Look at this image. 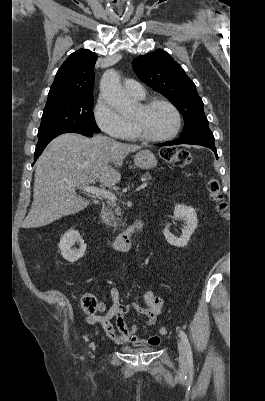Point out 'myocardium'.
<instances>
[{
  "mask_svg": "<svg viewBox=\"0 0 265 401\" xmlns=\"http://www.w3.org/2000/svg\"><path fill=\"white\" fill-rule=\"evenodd\" d=\"M159 104L168 107L174 113L175 118H176V128L172 133H170L168 135L153 137V136H149V135L145 134L142 131L139 123L136 122V121H133L135 132L137 133V135L141 139H143L145 141L160 142V141H166V140L172 139V138H174L175 136H177L179 134V132H180V130L182 128V116H181V113L178 110V108L174 104H172L171 102H169L167 100H164V99H150V100L142 102L140 104V106L144 111H147L148 109L152 108L153 106L159 105Z\"/></svg>",
  "mask_w": 265,
  "mask_h": 401,
  "instance_id": "1",
  "label": "myocardium"
}]
</instances>
